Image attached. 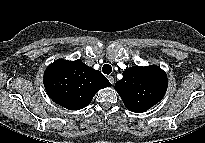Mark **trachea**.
<instances>
[{
    "instance_id": "obj_1",
    "label": "trachea",
    "mask_w": 205,
    "mask_h": 143,
    "mask_svg": "<svg viewBox=\"0 0 205 143\" xmlns=\"http://www.w3.org/2000/svg\"><path fill=\"white\" fill-rule=\"evenodd\" d=\"M102 71H103L104 74L109 75V74L112 72V67H111V65H109V64L103 65Z\"/></svg>"
}]
</instances>
